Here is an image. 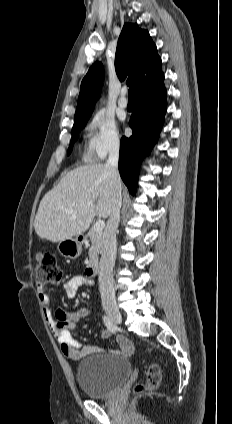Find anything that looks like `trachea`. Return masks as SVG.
Masks as SVG:
<instances>
[{"label": "trachea", "instance_id": "3493384b", "mask_svg": "<svg viewBox=\"0 0 232 424\" xmlns=\"http://www.w3.org/2000/svg\"><path fill=\"white\" fill-rule=\"evenodd\" d=\"M134 92H135V89H134L133 87H131V88L129 89V96H128V99H134Z\"/></svg>", "mask_w": 232, "mask_h": 424}]
</instances>
